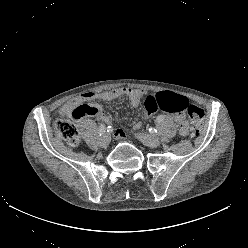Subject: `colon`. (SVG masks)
<instances>
[{"label": "colon", "instance_id": "colon-1", "mask_svg": "<svg viewBox=\"0 0 248 248\" xmlns=\"http://www.w3.org/2000/svg\"><path fill=\"white\" fill-rule=\"evenodd\" d=\"M145 113L150 116L158 111L177 114L186 112L190 119V132L193 137L198 136L204 127V111L193 104H190L188 100L180 95L171 92H160L154 95H150L146 98ZM91 112L88 105H80L76 107L71 117L75 120H79L87 116ZM55 134L65 140L69 145L76 146L79 143V134L75 124L68 120H57L53 124Z\"/></svg>", "mask_w": 248, "mask_h": 248}]
</instances>
